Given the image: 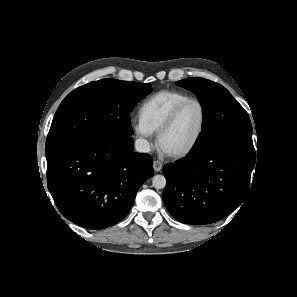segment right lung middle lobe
<instances>
[{
  "label": "right lung middle lobe",
  "mask_w": 297,
  "mask_h": 297,
  "mask_svg": "<svg viewBox=\"0 0 297 297\" xmlns=\"http://www.w3.org/2000/svg\"><path fill=\"white\" fill-rule=\"evenodd\" d=\"M151 84L106 78L78 87L61 102L46 140V158L79 143L133 134L129 114Z\"/></svg>",
  "instance_id": "dd1d6c3e"
}]
</instances>
